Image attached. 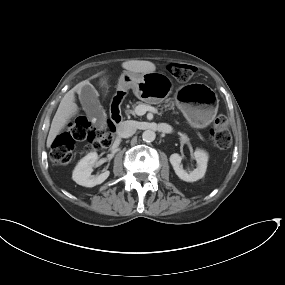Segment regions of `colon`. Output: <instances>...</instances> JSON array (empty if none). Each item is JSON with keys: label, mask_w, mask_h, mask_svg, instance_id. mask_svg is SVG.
Listing matches in <instances>:
<instances>
[{"label": "colon", "mask_w": 285, "mask_h": 285, "mask_svg": "<svg viewBox=\"0 0 285 285\" xmlns=\"http://www.w3.org/2000/svg\"><path fill=\"white\" fill-rule=\"evenodd\" d=\"M167 69L174 79L183 82L190 80L195 73V67L189 64L171 63ZM115 130V124L108 122L101 132H96L86 117H79L53 141L50 153L51 162L55 165H64L72 161L77 143L85 142L87 150L102 149L111 144ZM210 137L219 149L229 148L231 134L225 116L216 118L210 129Z\"/></svg>", "instance_id": "5ec220e1"}]
</instances>
